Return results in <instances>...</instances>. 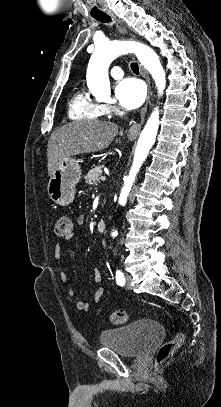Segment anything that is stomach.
Segmentation results:
<instances>
[{
  "label": "stomach",
  "mask_w": 221,
  "mask_h": 407,
  "mask_svg": "<svg viewBox=\"0 0 221 407\" xmlns=\"http://www.w3.org/2000/svg\"><path fill=\"white\" fill-rule=\"evenodd\" d=\"M80 178L81 169L78 161L72 157L64 159L48 182L47 192L50 199L61 206L69 205L74 200L76 185Z\"/></svg>",
  "instance_id": "obj_1"
}]
</instances>
